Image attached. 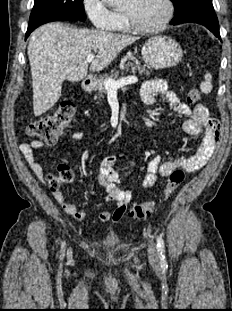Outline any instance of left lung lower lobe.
I'll return each instance as SVG.
<instances>
[{
    "instance_id": "0a47b994",
    "label": "left lung lower lobe",
    "mask_w": 232,
    "mask_h": 311,
    "mask_svg": "<svg viewBox=\"0 0 232 311\" xmlns=\"http://www.w3.org/2000/svg\"><path fill=\"white\" fill-rule=\"evenodd\" d=\"M197 23L208 28L221 40L218 20L211 0H192L185 7L175 12L170 24Z\"/></svg>"
}]
</instances>
